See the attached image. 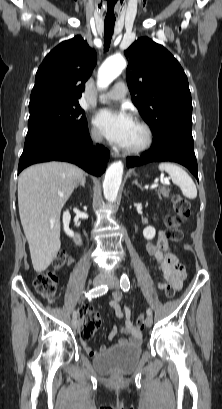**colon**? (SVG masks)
I'll return each instance as SVG.
<instances>
[{
	"mask_svg": "<svg viewBox=\"0 0 222 409\" xmlns=\"http://www.w3.org/2000/svg\"><path fill=\"white\" fill-rule=\"evenodd\" d=\"M172 202L174 213L166 218V224L168 226L166 236L169 240L177 242L181 238V232L178 227L190 216V203L178 194L174 195ZM66 262V253L63 251L58 252L52 261V270L40 272L35 277L34 287L42 297L48 300L54 299L58 284L57 271L61 269ZM165 294L167 297L174 296L175 288L168 286ZM79 313L82 319L80 335L82 339L88 340L92 338L95 332L99 329L101 320L97 310L89 306L82 307ZM146 316L147 313L143 312L142 315L137 318V325L140 329L143 328L144 317Z\"/></svg>",
	"mask_w": 222,
	"mask_h": 409,
	"instance_id": "5ec220e1",
	"label": "colon"
}]
</instances>
